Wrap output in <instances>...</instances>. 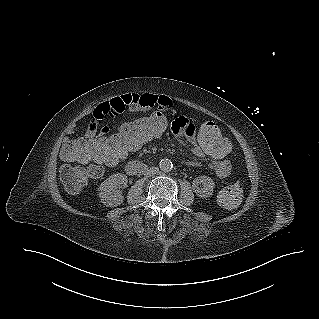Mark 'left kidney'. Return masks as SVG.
Instances as JSON below:
<instances>
[{
    "label": "left kidney",
    "mask_w": 319,
    "mask_h": 319,
    "mask_svg": "<svg viewBox=\"0 0 319 319\" xmlns=\"http://www.w3.org/2000/svg\"><path fill=\"white\" fill-rule=\"evenodd\" d=\"M214 186V181L207 176H199L195 178L193 181V189L196 195L200 198H207L211 196L213 193Z\"/></svg>",
    "instance_id": "5707ae66"
}]
</instances>
